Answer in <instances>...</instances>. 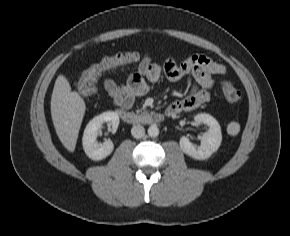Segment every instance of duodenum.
<instances>
[{
    "mask_svg": "<svg viewBox=\"0 0 290 236\" xmlns=\"http://www.w3.org/2000/svg\"><path fill=\"white\" fill-rule=\"evenodd\" d=\"M118 114L123 121L130 124H157L164 120V116L156 112L138 113L120 109Z\"/></svg>",
    "mask_w": 290,
    "mask_h": 236,
    "instance_id": "1",
    "label": "duodenum"
}]
</instances>
